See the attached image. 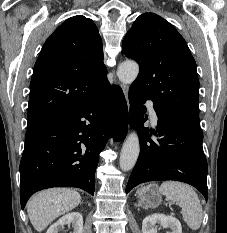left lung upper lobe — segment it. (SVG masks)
<instances>
[{
    "mask_svg": "<svg viewBox=\"0 0 227 233\" xmlns=\"http://www.w3.org/2000/svg\"><path fill=\"white\" fill-rule=\"evenodd\" d=\"M122 54L140 65L130 88L199 126L196 63L169 22L154 13L140 15L123 39Z\"/></svg>",
    "mask_w": 227,
    "mask_h": 233,
    "instance_id": "obj_1",
    "label": "left lung upper lobe"
}]
</instances>
